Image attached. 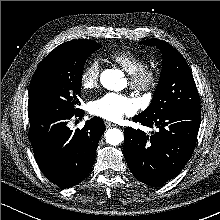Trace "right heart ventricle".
<instances>
[{
	"instance_id": "e07e8e85",
	"label": "right heart ventricle",
	"mask_w": 220,
	"mask_h": 220,
	"mask_svg": "<svg viewBox=\"0 0 220 220\" xmlns=\"http://www.w3.org/2000/svg\"><path fill=\"white\" fill-rule=\"evenodd\" d=\"M110 59L130 75L146 66V61L130 50L114 51Z\"/></svg>"
}]
</instances>
